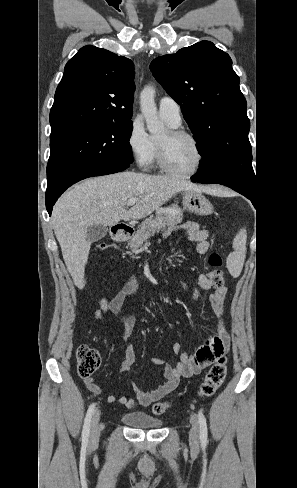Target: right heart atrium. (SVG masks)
<instances>
[{
	"label": "right heart atrium",
	"mask_w": 297,
	"mask_h": 488,
	"mask_svg": "<svg viewBox=\"0 0 297 488\" xmlns=\"http://www.w3.org/2000/svg\"><path fill=\"white\" fill-rule=\"evenodd\" d=\"M126 143L136 162L144 166L151 161L154 142L146 132L143 120L140 117L132 119L127 133Z\"/></svg>",
	"instance_id": "right-heart-atrium-1"
}]
</instances>
